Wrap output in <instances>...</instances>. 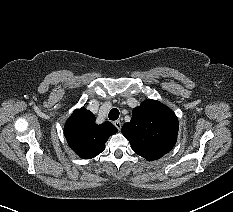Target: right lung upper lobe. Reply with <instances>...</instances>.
<instances>
[{"instance_id":"1","label":"right lung upper lobe","mask_w":233,"mask_h":212,"mask_svg":"<svg viewBox=\"0 0 233 212\" xmlns=\"http://www.w3.org/2000/svg\"><path fill=\"white\" fill-rule=\"evenodd\" d=\"M117 132V128L106 121L95 123V116L87 109H76L67 120L64 134L72 150L83 159L100 154L108 138Z\"/></svg>"}]
</instances>
